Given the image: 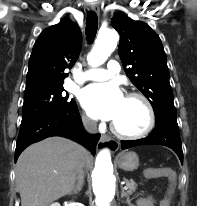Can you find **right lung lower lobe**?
Instances as JSON below:
<instances>
[{"instance_id":"1","label":"right lung lower lobe","mask_w":197,"mask_h":206,"mask_svg":"<svg viewBox=\"0 0 197 206\" xmlns=\"http://www.w3.org/2000/svg\"><path fill=\"white\" fill-rule=\"evenodd\" d=\"M50 136L72 139L87 147L93 154L100 138L99 134H86L76 105L60 112L46 113L21 122L16 143L15 162L26 147Z\"/></svg>"}]
</instances>
